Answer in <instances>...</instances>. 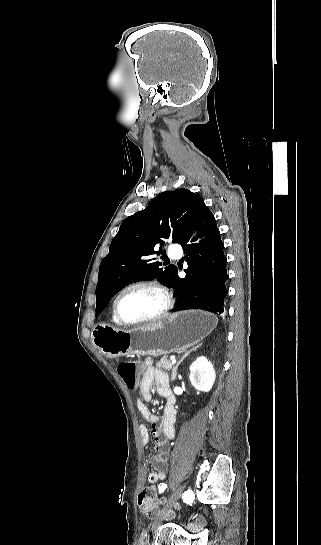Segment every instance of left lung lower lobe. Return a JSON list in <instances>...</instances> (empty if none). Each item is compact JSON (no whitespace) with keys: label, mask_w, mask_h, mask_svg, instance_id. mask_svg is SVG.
Segmentation results:
<instances>
[{"label":"left lung lower lobe","mask_w":321,"mask_h":545,"mask_svg":"<svg viewBox=\"0 0 321 545\" xmlns=\"http://www.w3.org/2000/svg\"><path fill=\"white\" fill-rule=\"evenodd\" d=\"M188 227L196 230L201 240L199 244L194 243L197 238L191 239L190 231L186 230L179 243L189 267L185 278H180L177 271L170 282L178 294L172 311L203 309L224 315V298L228 294L225 282L229 277L227 259L215 217L205 203L197 206Z\"/></svg>","instance_id":"1"}]
</instances>
